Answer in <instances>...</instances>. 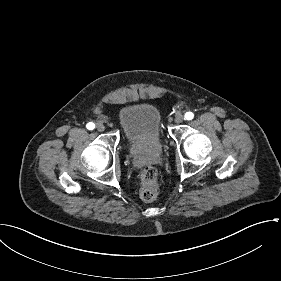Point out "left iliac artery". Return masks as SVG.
<instances>
[{
	"instance_id": "obj_1",
	"label": "left iliac artery",
	"mask_w": 281,
	"mask_h": 281,
	"mask_svg": "<svg viewBox=\"0 0 281 281\" xmlns=\"http://www.w3.org/2000/svg\"><path fill=\"white\" fill-rule=\"evenodd\" d=\"M194 117V114L192 112H187L185 114V119L191 120Z\"/></svg>"
}]
</instances>
